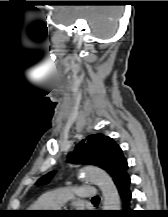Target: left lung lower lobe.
Returning <instances> with one entry per match:
<instances>
[{
	"instance_id": "left-lung-lower-lobe-1",
	"label": "left lung lower lobe",
	"mask_w": 168,
	"mask_h": 217,
	"mask_svg": "<svg viewBox=\"0 0 168 217\" xmlns=\"http://www.w3.org/2000/svg\"><path fill=\"white\" fill-rule=\"evenodd\" d=\"M127 168H128V165L126 164L124 167V174L116 184L118 192H119L120 197H121L122 202H123V206H124V210H122L121 212L118 213L120 215H125V214L130 213L129 203H130L132 194H131L130 189H129L130 177L128 176V174L126 172Z\"/></svg>"
}]
</instances>
